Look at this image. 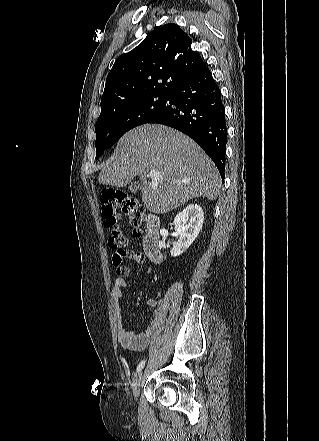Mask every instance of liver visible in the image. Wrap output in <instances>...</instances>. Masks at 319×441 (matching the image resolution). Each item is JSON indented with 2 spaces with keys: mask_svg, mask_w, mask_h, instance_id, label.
Segmentation results:
<instances>
[{
  "mask_svg": "<svg viewBox=\"0 0 319 441\" xmlns=\"http://www.w3.org/2000/svg\"><path fill=\"white\" fill-rule=\"evenodd\" d=\"M151 170L158 171L163 180L148 181ZM135 176L141 179L145 207L156 214L197 197L216 200L221 187L220 174L208 155L188 136L159 124H144L127 132L98 181L123 187Z\"/></svg>",
  "mask_w": 319,
  "mask_h": 441,
  "instance_id": "1",
  "label": "liver"
}]
</instances>
